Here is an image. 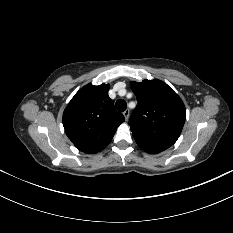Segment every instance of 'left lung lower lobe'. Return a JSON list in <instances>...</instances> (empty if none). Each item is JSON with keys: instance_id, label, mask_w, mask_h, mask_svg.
<instances>
[{"instance_id": "obj_1", "label": "left lung lower lobe", "mask_w": 233, "mask_h": 233, "mask_svg": "<svg viewBox=\"0 0 233 233\" xmlns=\"http://www.w3.org/2000/svg\"><path fill=\"white\" fill-rule=\"evenodd\" d=\"M139 147L147 153L156 154L169 148L172 144L151 141L147 143L138 144Z\"/></svg>"}]
</instances>
